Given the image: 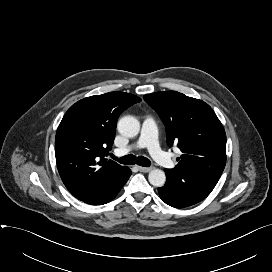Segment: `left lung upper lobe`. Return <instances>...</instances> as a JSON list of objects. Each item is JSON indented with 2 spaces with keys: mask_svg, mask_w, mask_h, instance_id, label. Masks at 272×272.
I'll list each match as a JSON object with an SVG mask.
<instances>
[{
  "mask_svg": "<svg viewBox=\"0 0 272 272\" xmlns=\"http://www.w3.org/2000/svg\"><path fill=\"white\" fill-rule=\"evenodd\" d=\"M166 126L168 144L182 155L172 171L220 177L226 164V134L212 108L176 91L143 96Z\"/></svg>",
  "mask_w": 272,
  "mask_h": 272,
  "instance_id": "1",
  "label": "left lung upper lobe"
}]
</instances>
